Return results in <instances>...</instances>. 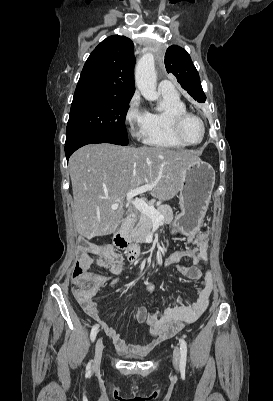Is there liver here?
<instances>
[{
    "mask_svg": "<svg viewBox=\"0 0 273 401\" xmlns=\"http://www.w3.org/2000/svg\"><path fill=\"white\" fill-rule=\"evenodd\" d=\"M194 150L158 146L86 144L69 158L76 231L86 239L115 233L129 190L153 184L152 196L169 201L178 192L181 172L200 160ZM118 203V209H111Z\"/></svg>",
    "mask_w": 273,
    "mask_h": 401,
    "instance_id": "6515ba94",
    "label": "liver"
}]
</instances>
